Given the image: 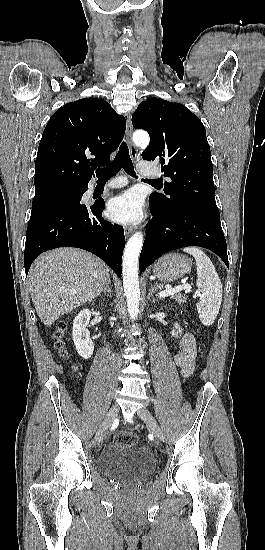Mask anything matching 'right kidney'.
<instances>
[{"label":"right kidney","mask_w":265,"mask_h":550,"mask_svg":"<svg viewBox=\"0 0 265 550\" xmlns=\"http://www.w3.org/2000/svg\"><path fill=\"white\" fill-rule=\"evenodd\" d=\"M91 318V312L83 309L78 313L73 321V341L78 354L83 359H89L94 352V343L90 338V332L87 329Z\"/></svg>","instance_id":"ca27d5eb"}]
</instances>
